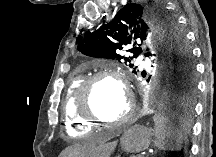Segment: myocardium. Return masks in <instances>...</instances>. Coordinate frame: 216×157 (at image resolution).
I'll return each instance as SVG.
<instances>
[{"mask_svg":"<svg viewBox=\"0 0 216 157\" xmlns=\"http://www.w3.org/2000/svg\"><path fill=\"white\" fill-rule=\"evenodd\" d=\"M105 79H110L117 83L119 87L122 89L128 106L125 111V113L116 121L114 122H107L100 117H98L93 109H92V89L94 85ZM134 101L132 99V95L129 92L128 86L121 76L119 72L116 71H103V72H98L92 76L87 77L81 85L78 88L77 95H76V109L79 114V116L86 120L90 124H98L102 126H122L124 124H127L133 117L134 115Z\"/></svg>","mask_w":216,"mask_h":157,"instance_id":"obj_1","label":"myocardium"}]
</instances>
